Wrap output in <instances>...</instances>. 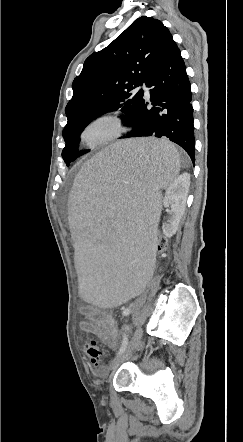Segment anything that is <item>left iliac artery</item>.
<instances>
[{"label": "left iliac artery", "instance_id": "44dca946", "mask_svg": "<svg viewBox=\"0 0 243 442\" xmlns=\"http://www.w3.org/2000/svg\"><path fill=\"white\" fill-rule=\"evenodd\" d=\"M131 312H132L131 308H126L123 311L122 315L123 316H128ZM127 344H128V337H127L126 334H124V336H123V343L121 345V348H120L118 354H121L125 350V348L127 347Z\"/></svg>", "mask_w": 243, "mask_h": 442}]
</instances>
